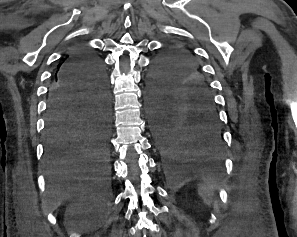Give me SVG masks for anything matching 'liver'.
<instances>
[{"mask_svg": "<svg viewBox=\"0 0 297 237\" xmlns=\"http://www.w3.org/2000/svg\"><path fill=\"white\" fill-rule=\"evenodd\" d=\"M75 190H76V188H74V187H71V188L68 187V188H67V192H70V191L72 192V191H75ZM66 197H67V196H66ZM58 204H59L58 202L55 203L53 208H57Z\"/></svg>", "mask_w": 297, "mask_h": 237, "instance_id": "6515ba94", "label": "liver"}]
</instances>
